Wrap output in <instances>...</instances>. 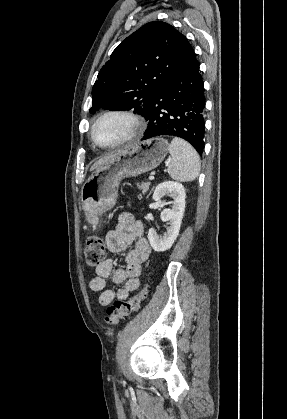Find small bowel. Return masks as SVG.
I'll list each match as a JSON object with an SVG mask.
<instances>
[{"label": "small bowel", "mask_w": 287, "mask_h": 419, "mask_svg": "<svg viewBox=\"0 0 287 419\" xmlns=\"http://www.w3.org/2000/svg\"><path fill=\"white\" fill-rule=\"evenodd\" d=\"M144 232V224L126 213L120 216L116 228L107 232L105 242L110 252L125 251L131 244H134V247L125 257L124 268L114 269L111 260H106L96 268L97 275L90 281V287L93 291L100 293L99 303L102 306L110 304L115 298L126 300L130 293L139 288V276L151 252ZM108 278L113 283L123 284V286L116 291L106 289L105 284Z\"/></svg>", "instance_id": "small-bowel-1"}]
</instances>
